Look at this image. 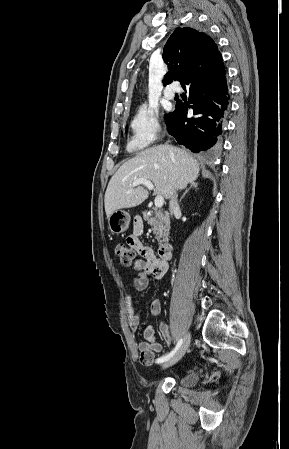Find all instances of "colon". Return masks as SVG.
Wrapping results in <instances>:
<instances>
[{
	"mask_svg": "<svg viewBox=\"0 0 289 449\" xmlns=\"http://www.w3.org/2000/svg\"><path fill=\"white\" fill-rule=\"evenodd\" d=\"M115 254L125 266H131L136 260V251L128 244L119 243L115 247Z\"/></svg>",
	"mask_w": 289,
	"mask_h": 449,
	"instance_id": "obj_1",
	"label": "colon"
}]
</instances>
